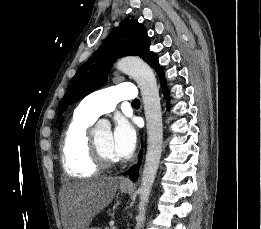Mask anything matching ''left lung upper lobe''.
I'll return each mask as SVG.
<instances>
[{
	"instance_id": "5c2ea615",
	"label": "left lung upper lobe",
	"mask_w": 261,
	"mask_h": 229,
	"mask_svg": "<svg viewBox=\"0 0 261 229\" xmlns=\"http://www.w3.org/2000/svg\"><path fill=\"white\" fill-rule=\"evenodd\" d=\"M149 47L150 40L146 28L133 17L124 19L111 31L99 50L76 72L59 104L57 121L67 106L105 84L107 73L118 58L128 55L140 56L157 73L162 71L157 55L150 51Z\"/></svg>"
}]
</instances>
